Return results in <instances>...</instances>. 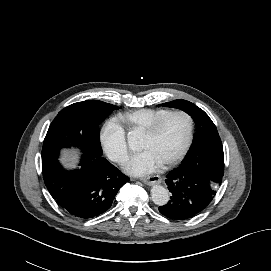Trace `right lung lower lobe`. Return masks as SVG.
Instances as JSON below:
<instances>
[{"label":"right lung lower lobe","instance_id":"98d812e1","mask_svg":"<svg viewBox=\"0 0 271 271\" xmlns=\"http://www.w3.org/2000/svg\"><path fill=\"white\" fill-rule=\"evenodd\" d=\"M57 158L42 160L45 185L53 199L78 218L104 213L128 181V177L105 158L89 151H83L78 170H64Z\"/></svg>","mask_w":271,"mask_h":271}]
</instances>
